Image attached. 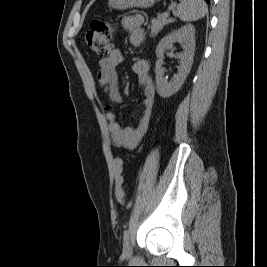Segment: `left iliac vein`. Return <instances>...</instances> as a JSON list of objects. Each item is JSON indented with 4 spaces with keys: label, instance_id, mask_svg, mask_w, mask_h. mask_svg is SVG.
<instances>
[{
    "label": "left iliac vein",
    "instance_id": "1",
    "mask_svg": "<svg viewBox=\"0 0 267 267\" xmlns=\"http://www.w3.org/2000/svg\"><path fill=\"white\" fill-rule=\"evenodd\" d=\"M123 253L127 257H130L131 254H132V248H131V244H130L129 238L124 241Z\"/></svg>",
    "mask_w": 267,
    "mask_h": 267
}]
</instances>
